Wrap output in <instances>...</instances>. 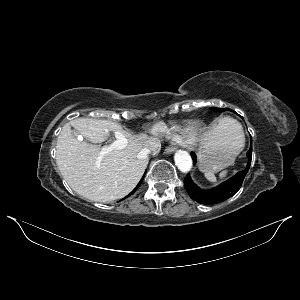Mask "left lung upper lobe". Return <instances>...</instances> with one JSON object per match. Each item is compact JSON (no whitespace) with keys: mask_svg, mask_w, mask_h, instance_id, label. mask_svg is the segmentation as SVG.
I'll use <instances>...</instances> for the list:
<instances>
[{"mask_svg":"<svg viewBox=\"0 0 300 300\" xmlns=\"http://www.w3.org/2000/svg\"><path fill=\"white\" fill-rule=\"evenodd\" d=\"M214 111H219V112H222V111H225V110H230V109H226V108H212Z\"/></svg>","mask_w":300,"mask_h":300,"instance_id":"5c2ea615","label":"left lung upper lobe"}]
</instances>
